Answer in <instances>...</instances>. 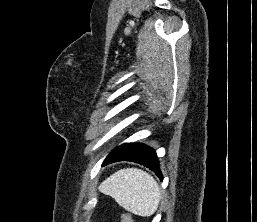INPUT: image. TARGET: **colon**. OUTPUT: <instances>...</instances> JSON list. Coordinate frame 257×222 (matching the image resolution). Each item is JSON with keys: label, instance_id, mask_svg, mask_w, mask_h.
<instances>
[{"label": "colon", "instance_id": "1", "mask_svg": "<svg viewBox=\"0 0 257 222\" xmlns=\"http://www.w3.org/2000/svg\"><path fill=\"white\" fill-rule=\"evenodd\" d=\"M121 222H133L129 213H124L121 218Z\"/></svg>", "mask_w": 257, "mask_h": 222}]
</instances>
